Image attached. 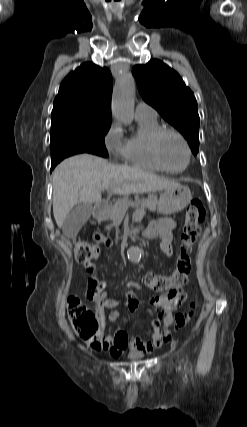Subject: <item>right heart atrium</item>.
<instances>
[{"instance_id": "1", "label": "right heart atrium", "mask_w": 247, "mask_h": 427, "mask_svg": "<svg viewBox=\"0 0 247 427\" xmlns=\"http://www.w3.org/2000/svg\"><path fill=\"white\" fill-rule=\"evenodd\" d=\"M104 145L114 156H123L124 138L119 123L112 122L104 135Z\"/></svg>"}]
</instances>
